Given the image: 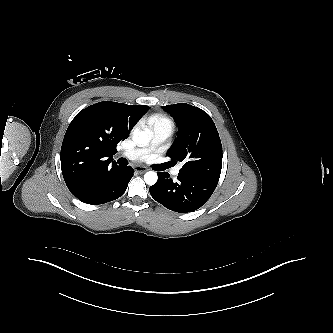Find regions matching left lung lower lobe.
Returning a JSON list of instances; mask_svg holds the SVG:
<instances>
[{"mask_svg":"<svg viewBox=\"0 0 333 333\" xmlns=\"http://www.w3.org/2000/svg\"><path fill=\"white\" fill-rule=\"evenodd\" d=\"M158 181L150 187V194L166 208L179 213L195 211L203 206L218 182L202 177L178 174L173 181L166 172H158Z\"/></svg>","mask_w":333,"mask_h":333,"instance_id":"0a47b994","label":"left lung lower lobe"}]
</instances>
